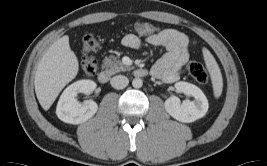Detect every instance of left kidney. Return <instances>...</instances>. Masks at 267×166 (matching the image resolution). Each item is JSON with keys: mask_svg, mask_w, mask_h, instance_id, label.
<instances>
[{"mask_svg": "<svg viewBox=\"0 0 267 166\" xmlns=\"http://www.w3.org/2000/svg\"><path fill=\"white\" fill-rule=\"evenodd\" d=\"M175 88L185 95L194 97L193 101L182 103L176 96L169 97L165 103L166 111L176 120L184 123L194 122L202 118L208 111V100L202 90L188 82H177Z\"/></svg>", "mask_w": 267, "mask_h": 166, "instance_id": "obj_1", "label": "left kidney"}]
</instances>
